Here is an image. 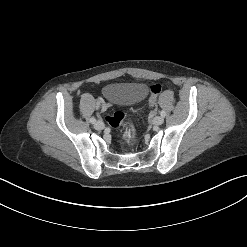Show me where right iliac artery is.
Listing matches in <instances>:
<instances>
[{
  "instance_id": "1",
  "label": "right iliac artery",
  "mask_w": 247,
  "mask_h": 247,
  "mask_svg": "<svg viewBox=\"0 0 247 247\" xmlns=\"http://www.w3.org/2000/svg\"><path fill=\"white\" fill-rule=\"evenodd\" d=\"M90 122H91L92 124H95V123H96V119H95L94 117H92V118L90 119Z\"/></svg>"
}]
</instances>
